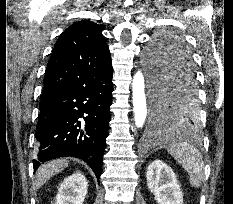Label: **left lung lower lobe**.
<instances>
[{"instance_id":"left-lung-lower-lobe-1","label":"left lung lower lobe","mask_w":233,"mask_h":204,"mask_svg":"<svg viewBox=\"0 0 233 204\" xmlns=\"http://www.w3.org/2000/svg\"><path fill=\"white\" fill-rule=\"evenodd\" d=\"M167 61L170 63L169 69L158 83L151 85L153 111L148 137L150 141H153L157 135L170 131H187L169 124L170 109L182 96L194 98L198 104L197 84L191 57L180 52L170 54ZM163 105L167 106L166 111L161 110Z\"/></svg>"}]
</instances>
